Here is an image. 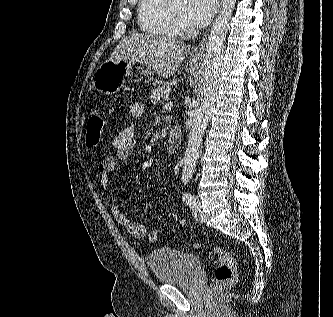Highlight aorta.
I'll return each instance as SVG.
<instances>
[{"label": "aorta", "instance_id": "obj_1", "mask_svg": "<svg viewBox=\"0 0 333 317\" xmlns=\"http://www.w3.org/2000/svg\"><path fill=\"white\" fill-rule=\"evenodd\" d=\"M235 3L236 0H222V8L208 36L202 102L200 107L194 112L193 124L183 160L182 181L185 184L188 183L194 175L202 137L215 110L216 97L220 86L226 33Z\"/></svg>", "mask_w": 333, "mask_h": 317}]
</instances>
